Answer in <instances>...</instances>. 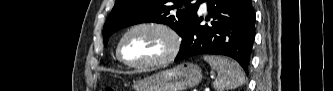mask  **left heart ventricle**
I'll list each match as a JSON object with an SVG mask.
<instances>
[{"mask_svg":"<svg viewBox=\"0 0 333 91\" xmlns=\"http://www.w3.org/2000/svg\"><path fill=\"white\" fill-rule=\"evenodd\" d=\"M169 39L162 32L140 29L131 33L124 44V56L132 63H143L163 57L169 49Z\"/></svg>","mask_w":333,"mask_h":91,"instance_id":"obj_1","label":"left heart ventricle"}]
</instances>
